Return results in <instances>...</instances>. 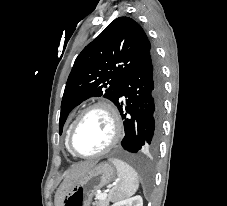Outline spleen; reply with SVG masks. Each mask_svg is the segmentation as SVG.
<instances>
[{"label":"spleen","mask_w":227,"mask_h":206,"mask_svg":"<svg viewBox=\"0 0 227 206\" xmlns=\"http://www.w3.org/2000/svg\"><path fill=\"white\" fill-rule=\"evenodd\" d=\"M117 169L120 182L112 189L110 197L117 201L136 193L139 187V180L136 171L127 163L119 159H110Z\"/></svg>","instance_id":"1"}]
</instances>
